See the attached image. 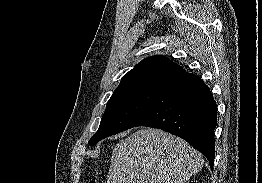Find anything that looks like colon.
<instances>
[{
  "label": "colon",
  "instance_id": "colon-1",
  "mask_svg": "<svg viewBox=\"0 0 262 183\" xmlns=\"http://www.w3.org/2000/svg\"><path fill=\"white\" fill-rule=\"evenodd\" d=\"M88 183H98V182L95 181V180H91V181H89Z\"/></svg>",
  "mask_w": 262,
  "mask_h": 183
}]
</instances>
